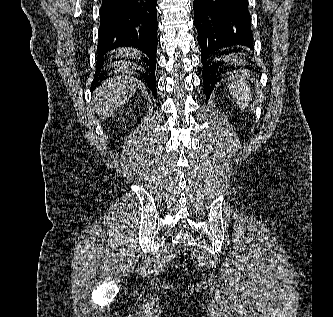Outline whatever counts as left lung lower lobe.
<instances>
[{
    "mask_svg": "<svg viewBox=\"0 0 333 317\" xmlns=\"http://www.w3.org/2000/svg\"><path fill=\"white\" fill-rule=\"evenodd\" d=\"M193 9L202 52L204 92L208 99L227 71L222 56L234 52L223 49L236 45L253 49L251 15L248 0H194Z\"/></svg>",
    "mask_w": 333,
    "mask_h": 317,
    "instance_id": "left-lung-lower-lobe-1",
    "label": "left lung lower lobe"
}]
</instances>
